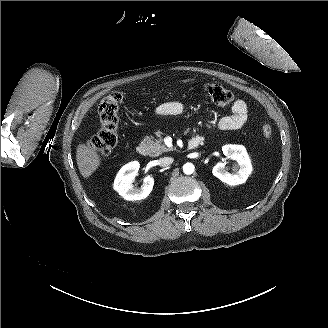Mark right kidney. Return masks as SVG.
<instances>
[{"instance_id": "1", "label": "right kidney", "mask_w": 328, "mask_h": 328, "mask_svg": "<svg viewBox=\"0 0 328 328\" xmlns=\"http://www.w3.org/2000/svg\"><path fill=\"white\" fill-rule=\"evenodd\" d=\"M139 167L138 162L129 163L119 171L115 179V190L127 201L145 199L153 190L154 178L151 175H147L143 178V185L141 188L132 185L133 180L139 176Z\"/></svg>"}]
</instances>
